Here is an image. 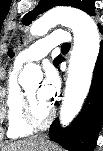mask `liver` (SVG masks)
<instances>
[{
	"mask_svg": "<svg viewBox=\"0 0 103 151\" xmlns=\"http://www.w3.org/2000/svg\"><path fill=\"white\" fill-rule=\"evenodd\" d=\"M37 136L9 143L1 148V151H35L37 147Z\"/></svg>",
	"mask_w": 103,
	"mask_h": 151,
	"instance_id": "obj_1",
	"label": "liver"
}]
</instances>
